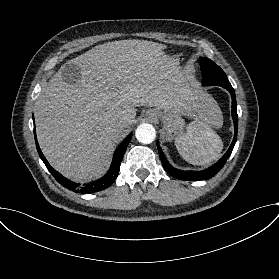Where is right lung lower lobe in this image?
I'll return each instance as SVG.
<instances>
[{
    "label": "right lung lower lobe",
    "instance_id": "1",
    "mask_svg": "<svg viewBox=\"0 0 279 279\" xmlns=\"http://www.w3.org/2000/svg\"><path fill=\"white\" fill-rule=\"evenodd\" d=\"M35 133L36 132L34 130L36 147H37L39 156L42 159V161L44 162V164L46 165V167L48 168V170L50 171V173L53 175V177L63 187H65L68 190H71L75 193H81V194H91V193H95L98 191H102L112 185V183L115 181V179L118 176L121 161L123 159L124 153L126 151V148L129 144V142L131 140V136H132V134H129L126 137V139L119 145V147L117 148V150L114 153L111 167L105 176H103L102 178H100L96 181H92V182H88V183H84V184L80 185V184L74 183L73 181L68 180L67 178L63 177L59 172H57L50 166V164L48 163L45 156L43 155V153L40 150Z\"/></svg>",
    "mask_w": 279,
    "mask_h": 279
}]
</instances>
